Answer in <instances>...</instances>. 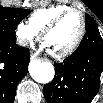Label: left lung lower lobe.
Instances as JSON below:
<instances>
[{"label": "left lung lower lobe", "instance_id": "0a47b994", "mask_svg": "<svg viewBox=\"0 0 103 103\" xmlns=\"http://www.w3.org/2000/svg\"><path fill=\"white\" fill-rule=\"evenodd\" d=\"M55 77L44 86L47 103H90L103 73V39L98 27L86 29L84 39L62 63H55Z\"/></svg>", "mask_w": 103, "mask_h": 103}]
</instances>
